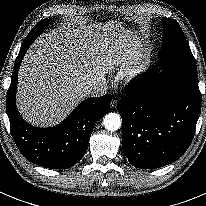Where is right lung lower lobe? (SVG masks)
Returning <instances> with one entry per match:
<instances>
[{"mask_svg": "<svg viewBox=\"0 0 206 206\" xmlns=\"http://www.w3.org/2000/svg\"><path fill=\"white\" fill-rule=\"evenodd\" d=\"M37 34L26 37L15 60L11 84L7 92L6 110L14 141L30 162L50 169H66L85 154L94 124L110 112L111 95L82 101L61 123L51 128H37L22 119L16 106L18 70Z\"/></svg>", "mask_w": 206, "mask_h": 206, "instance_id": "right-lung-lower-lobe-1", "label": "right lung lower lobe"}]
</instances>
